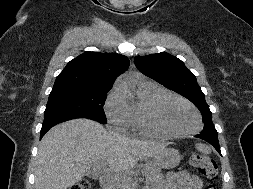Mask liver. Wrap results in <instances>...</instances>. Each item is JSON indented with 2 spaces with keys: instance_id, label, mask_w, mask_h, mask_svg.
I'll list each match as a JSON object with an SVG mask.
<instances>
[{
  "instance_id": "1",
  "label": "liver",
  "mask_w": 253,
  "mask_h": 189,
  "mask_svg": "<svg viewBox=\"0 0 253 189\" xmlns=\"http://www.w3.org/2000/svg\"><path fill=\"white\" fill-rule=\"evenodd\" d=\"M165 144L142 142L106 130L89 119H73L52 128L41 140L35 167V189H67L87 171L104 164L131 189V170L165 149ZM128 181V185L126 184Z\"/></svg>"
}]
</instances>
